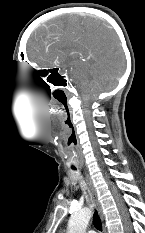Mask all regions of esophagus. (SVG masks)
I'll return each mask as SVG.
<instances>
[{"mask_svg":"<svg viewBox=\"0 0 145 233\" xmlns=\"http://www.w3.org/2000/svg\"><path fill=\"white\" fill-rule=\"evenodd\" d=\"M86 180H87V183H88L90 192H91V196H92L94 205H95V207L97 208L99 214L102 216V206H101V203H100V201H99L97 191H96V189L94 188L93 183H92V181H91V179L89 178L88 175H86ZM103 233H107L106 228H103Z\"/></svg>","mask_w":145,"mask_h":233,"instance_id":"34e87169","label":"esophagus"}]
</instances>
